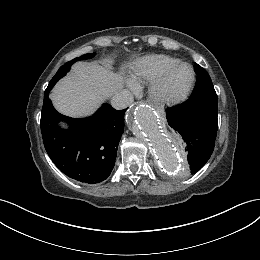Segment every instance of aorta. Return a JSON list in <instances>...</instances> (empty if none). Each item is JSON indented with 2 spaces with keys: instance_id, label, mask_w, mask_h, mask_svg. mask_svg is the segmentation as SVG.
I'll use <instances>...</instances> for the list:
<instances>
[{
  "instance_id": "762f6f07",
  "label": "aorta",
  "mask_w": 260,
  "mask_h": 260,
  "mask_svg": "<svg viewBox=\"0 0 260 260\" xmlns=\"http://www.w3.org/2000/svg\"><path fill=\"white\" fill-rule=\"evenodd\" d=\"M127 119L134 135L149 147L163 170L172 172L185 167L180 139L167 133L150 107L136 106Z\"/></svg>"
}]
</instances>
